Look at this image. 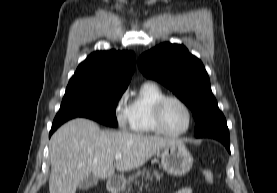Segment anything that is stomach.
I'll use <instances>...</instances> for the list:
<instances>
[{
    "label": "stomach",
    "instance_id": "0dacf381",
    "mask_svg": "<svg viewBox=\"0 0 277 193\" xmlns=\"http://www.w3.org/2000/svg\"><path fill=\"white\" fill-rule=\"evenodd\" d=\"M161 165L168 174L183 176L192 168L193 157L183 143H176L162 149ZM124 186V177L114 179V190L122 191Z\"/></svg>",
    "mask_w": 277,
    "mask_h": 193
}]
</instances>
